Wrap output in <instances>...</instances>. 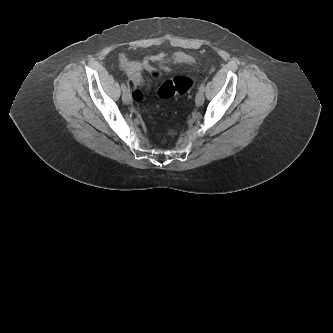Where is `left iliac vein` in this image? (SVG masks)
Returning a JSON list of instances; mask_svg holds the SVG:
<instances>
[{
	"instance_id": "1",
	"label": "left iliac vein",
	"mask_w": 333,
	"mask_h": 333,
	"mask_svg": "<svg viewBox=\"0 0 333 333\" xmlns=\"http://www.w3.org/2000/svg\"><path fill=\"white\" fill-rule=\"evenodd\" d=\"M204 94L202 91H199L197 94H196V98H195V102H196V105L197 106H201L203 103H204Z\"/></svg>"
}]
</instances>
